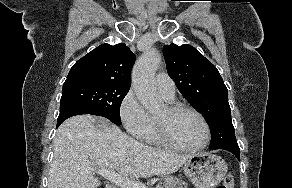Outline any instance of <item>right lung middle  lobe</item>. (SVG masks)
<instances>
[{
    "mask_svg": "<svg viewBox=\"0 0 292 188\" xmlns=\"http://www.w3.org/2000/svg\"><path fill=\"white\" fill-rule=\"evenodd\" d=\"M129 89L130 87L88 79L65 81L60 111L80 109L92 115L103 116L120 125V105Z\"/></svg>",
    "mask_w": 292,
    "mask_h": 188,
    "instance_id": "right-lung-middle-lobe-1",
    "label": "right lung middle lobe"
}]
</instances>
